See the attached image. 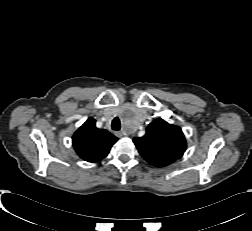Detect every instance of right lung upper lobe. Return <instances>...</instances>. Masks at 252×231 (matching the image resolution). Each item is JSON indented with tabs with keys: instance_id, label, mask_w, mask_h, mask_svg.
Wrapping results in <instances>:
<instances>
[{
	"instance_id": "obj_1",
	"label": "right lung upper lobe",
	"mask_w": 252,
	"mask_h": 231,
	"mask_svg": "<svg viewBox=\"0 0 252 231\" xmlns=\"http://www.w3.org/2000/svg\"><path fill=\"white\" fill-rule=\"evenodd\" d=\"M118 140L113 134L95 126V120L87 121L74 133L72 145L85 161L98 162L107 156L112 145Z\"/></svg>"
}]
</instances>
